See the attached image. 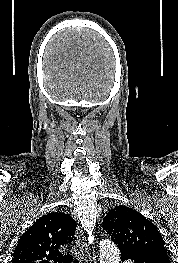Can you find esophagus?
<instances>
[{
    "label": "esophagus",
    "mask_w": 178,
    "mask_h": 263,
    "mask_svg": "<svg viewBox=\"0 0 178 263\" xmlns=\"http://www.w3.org/2000/svg\"><path fill=\"white\" fill-rule=\"evenodd\" d=\"M76 244L77 247H79V249L82 251V247L85 246L86 247V251L81 253V261H84L85 263H97V257L95 254H93L91 256V253H89L88 250V246L87 244L84 242L85 240V236H84V231L82 230L81 227H77L76 229Z\"/></svg>",
    "instance_id": "34e87169"
}]
</instances>
